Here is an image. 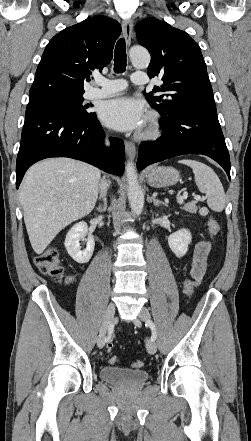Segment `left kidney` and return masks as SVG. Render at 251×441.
I'll return each instance as SVG.
<instances>
[{
  "mask_svg": "<svg viewBox=\"0 0 251 441\" xmlns=\"http://www.w3.org/2000/svg\"><path fill=\"white\" fill-rule=\"evenodd\" d=\"M191 240V233L187 229H180L168 237V245L172 252L180 258L187 253Z\"/></svg>",
  "mask_w": 251,
  "mask_h": 441,
  "instance_id": "5707ae66",
  "label": "left kidney"
}]
</instances>
